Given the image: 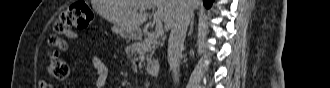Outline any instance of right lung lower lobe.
Segmentation results:
<instances>
[{"label": "right lung lower lobe", "instance_id": "1", "mask_svg": "<svg viewBox=\"0 0 330 88\" xmlns=\"http://www.w3.org/2000/svg\"><path fill=\"white\" fill-rule=\"evenodd\" d=\"M214 0H203L206 8H210Z\"/></svg>", "mask_w": 330, "mask_h": 88}]
</instances>
